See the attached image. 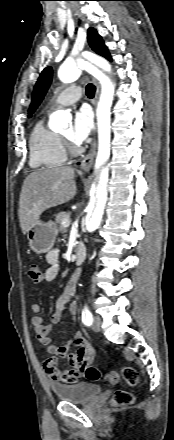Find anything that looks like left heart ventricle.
Masks as SVG:
<instances>
[{
	"label": "left heart ventricle",
	"instance_id": "1",
	"mask_svg": "<svg viewBox=\"0 0 174 440\" xmlns=\"http://www.w3.org/2000/svg\"><path fill=\"white\" fill-rule=\"evenodd\" d=\"M63 135H65V136L69 137V135H70V132H69V130H66V131H64V132H63Z\"/></svg>",
	"mask_w": 174,
	"mask_h": 440
}]
</instances>
